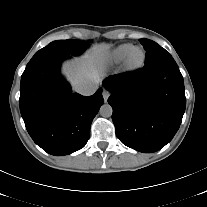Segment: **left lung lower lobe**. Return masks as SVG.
<instances>
[{"mask_svg":"<svg viewBox=\"0 0 207 207\" xmlns=\"http://www.w3.org/2000/svg\"><path fill=\"white\" fill-rule=\"evenodd\" d=\"M103 86L111 92L112 120L124 145L152 153L172 140L186 106L183 77L174 59L109 76Z\"/></svg>","mask_w":207,"mask_h":207,"instance_id":"1","label":"left lung lower lobe"}]
</instances>
